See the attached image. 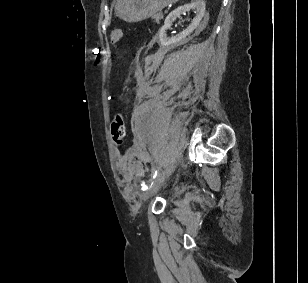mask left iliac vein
<instances>
[{"instance_id":"left-iliac-vein-1","label":"left iliac vein","mask_w":308,"mask_h":283,"mask_svg":"<svg viewBox=\"0 0 308 283\" xmlns=\"http://www.w3.org/2000/svg\"><path fill=\"white\" fill-rule=\"evenodd\" d=\"M171 171L172 167H168L156 176V178L151 182L148 190L144 193V200H148L157 193L163 182L170 175Z\"/></svg>"}]
</instances>
